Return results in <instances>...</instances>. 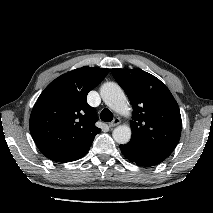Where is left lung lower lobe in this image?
<instances>
[{
	"instance_id": "obj_1",
	"label": "left lung lower lobe",
	"mask_w": 213,
	"mask_h": 213,
	"mask_svg": "<svg viewBox=\"0 0 213 213\" xmlns=\"http://www.w3.org/2000/svg\"><path fill=\"white\" fill-rule=\"evenodd\" d=\"M120 149L128 160L145 167L157 165L167 158L164 155L143 150L131 143L120 145Z\"/></svg>"
}]
</instances>
